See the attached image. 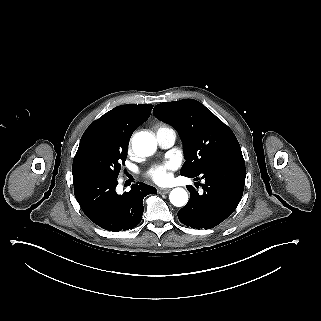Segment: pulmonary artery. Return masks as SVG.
Here are the masks:
<instances>
[{"mask_svg":"<svg viewBox=\"0 0 321 321\" xmlns=\"http://www.w3.org/2000/svg\"><path fill=\"white\" fill-rule=\"evenodd\" d=\"M176 131L172 128H167L157 132L158 143L163 148L171 147L176 141Z\"/></svg>","mask_w":321,"mask_h":321,"instance_id":"e3ab8cb5","label":"pulmonary artery"}]
</instances>
